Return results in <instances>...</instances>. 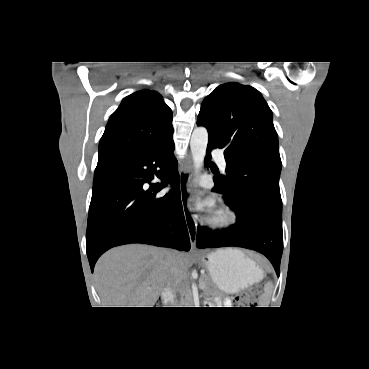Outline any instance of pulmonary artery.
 <instances>
[{"label":"pulmonary artery","instance_id":"pulmonary-artery-1","mask_svg":"<svg viewBox=\"0 0 369 369\" xmlns=\"http://www.w3.org/2000/svg\"><path fill=\"white\" fill-rule=\"evenodd\" d=\"M213 156H214L215 160L217 161L219 167L222 170H225L226 169V161H225L223 153L220 150H214L213 151Z\"/></svg>","mask_w":369,"mask_h":369}]
</instances>
